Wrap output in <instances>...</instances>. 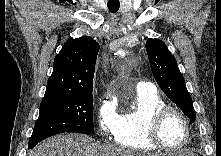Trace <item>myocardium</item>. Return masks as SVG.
<instances>
[{"label": "myocardium", "instance_id": "f54148a6", "mask_svg": "<svg viewBox=\"0 0 221 156\" xmlns=\"http://www.w3.org/2000/svg\"><path fill=\"white\" fill-rule=\"evenodd\" d=\"M169 113H176L183 120V122L185 124V128H186L185 139L182 142V144L177 147H169V146L165 145L162 142L161 137H160L161 125H162L165 117ZM191 132H192L191 123H190V120L187 117V115L178 107L170 106V105H164L161 108L157 109L150 117L148 127H147V137H148L149 141L156 148H159V149H162V150L168 151V152H177V151H180L183 148H185L191 139Z\"/></svg>", "mask_w": 221, "mask_h": 156}]
</instances>
